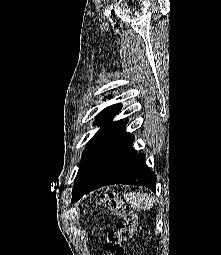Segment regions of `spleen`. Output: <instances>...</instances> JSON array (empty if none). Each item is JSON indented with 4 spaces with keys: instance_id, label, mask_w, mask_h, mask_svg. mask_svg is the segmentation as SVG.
I'll list each match as a JSON object with an SVG mask.
<instances>
[{
    "instance_id": "obj_1",
    "label": "spleen",
    "mask_w": 221,
    "mask_h": 255,
    "mask_svg": "<svg viewBox=\"0 0 221 255\" xmlns=\"http://www.w3.org/2000/svg\"><path fill=\"white\" fill-rule=\"evenodd\" d=\"M125 200L138 212L149 210L154 205L153 198L149 194L142 192L128 193L125 196Z\"/></svg>"
}]
</instances>
